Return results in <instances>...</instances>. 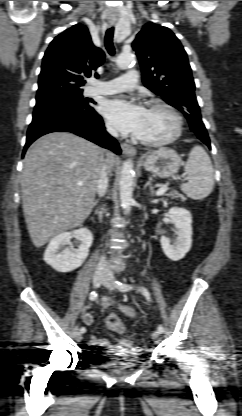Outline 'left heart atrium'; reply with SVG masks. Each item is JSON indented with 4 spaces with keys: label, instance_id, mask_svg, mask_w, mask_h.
Wrapping results in <instances>:
<instances>
[{
    "label": "left heart atrium",
    "instance_id": "39dd6f15",
    "mask_svg": "<svg viewBox=\"0 0 242 416\" xmlns=\"http://www.w3.org/2000/svg\"><path fill=\"white\" fill-rule=\"evenodd\" d=\"M146 109L124 97L108 99L101 105V113L124 134L136 135Z\"/></svg>",
    "mask_w": 242,
    "mask_h": 416
}]
</instances>
